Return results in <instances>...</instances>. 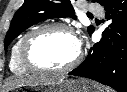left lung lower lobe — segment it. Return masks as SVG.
Instances as JSON below:
<instances>
[{
	"label": "left lung lower lobe",
	"mask_w": 127,
	"mask_h": 92,
	"mask_svg": "<svg viewBox=\"0 0 127 92\" xmlns=\"http://www.w3.org/2000/svg\"><path fill=\"white\" fill-rule=\"evenodd\" d=\"M104 9L107 20L113 22L69 75L87 77L118 92H127V0H113Z\"/></svg>",
	"instance_id": "1"
}]
</instances>
